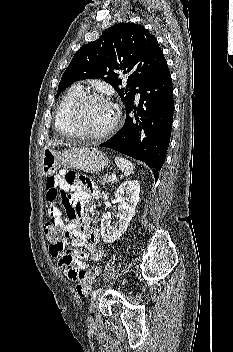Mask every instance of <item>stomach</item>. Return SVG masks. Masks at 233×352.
Masks as SVG:
<instances>
[{
    "label": "stomach",
    "instance_id": "1",
    "mask_svg": "<svg viewBox=\"0 0 233 352\" xmlns=\"http://www.w3.org/2000/svg\"><path fill=\"white\" fill-rule=\"evenodd\" d=\"M43 176L54 174L60 167L76 168L86 172H100L109 163L108 157L92 147H75L58 152L54 148H45L41 156Z\"/></svg>",
    "mask_w": 233,
    "mask_h": 352
}]
</instances>
